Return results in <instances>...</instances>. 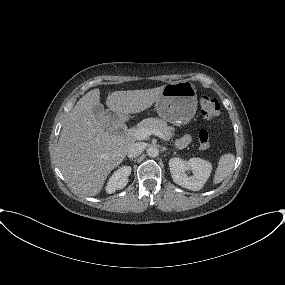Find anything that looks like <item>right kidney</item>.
I'll list each match as a JSON object with an SVG mask.
<instances>
[{"label": "right kidney", "instance_id": "right-kidney-1", "mask_svg": "<svg viewBox=\"0 0 285 285\" xmlns=\"http://www.w3.org/2000/svg\"><path fill=\"white\" fill-rule=\"evenodd\" d=\"M131 174L130 166H123L113 173L106 185L108 194L114 193L116 190L123 189L128 183V176Z\"/></svg>", "mask_w": 285, "mask_h": 285}]
</instances>
